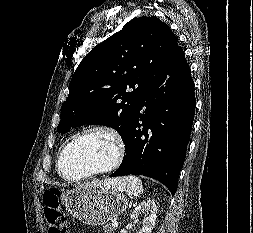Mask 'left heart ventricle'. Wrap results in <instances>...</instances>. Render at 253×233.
Returning <instances> with one entry per match:
<instances>
[{
    "label": "left heart ventricle",
    "mask_w": 253,
    "mask_h": 233,
    "mask_svg": "<svg viewBox=\"0 0 253 233\" xmlns=\"http://www.w3.org/2000/svg\"><path fill=\"white\" fill-rule=\"evenodd\" d=\"M114 155L115 144L108 135L89 134L68 147L62 159V170L70 177L81 176L108 165Z\"/></svg>",
    "instance_id": "b2bd125f"
}]
</instances>
